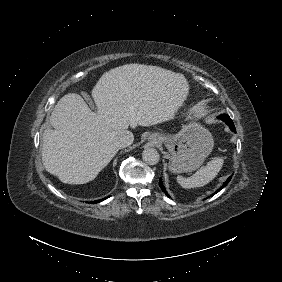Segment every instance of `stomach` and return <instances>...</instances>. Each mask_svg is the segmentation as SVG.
Masks as SVG:
<instances>
[{
    "mask_svg": "<svg viewBox=\"0 0 282 282\" xmlns=\"http://www.w3.org/2000/svg\"><path fill=\"white\" fill-rule=\"evenodd\" d=\"M154 134L160 144H165L170 153L168 168L173 173L196 170L214 147L212 134L197 123L195 117L188 124L183 125L177 134Z\"/></svg>",
    "mask_w": 282,
    "mask_h": 282,
    "instance_id": "obj_1",
    "label": "stomach"
}]
</instances>
